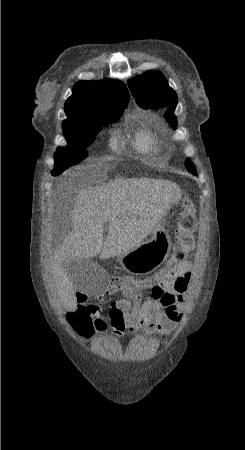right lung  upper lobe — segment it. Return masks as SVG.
I'll list each match as a JSON object with an SVG mask.
<instances>
[{
    "instance_id": "right-lung-upper-lobe-1",
    "label": "right lung upper lobe",
    "mask_w": 245,
    "mask_h": 450,
    "mask_svg": "<svg viewBox=\"0 0 245 450\" xmlns=\"http://www.w3.org/2000/svg\"><path fill=\"white\" fill-rule=\"evenodd\" d=\"M65 103L68 117L95 105H109L119 109L127 107L129 94L125 85L115 80L79 81Z\"/></svg>"
}]
</instances>
